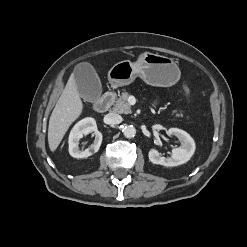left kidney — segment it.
<instances>
[{
	"label": "left kidney",
	"instance_id": "5707ae66",
	"mask_svg": "<svg viewBox=\"0 0 247 247\" xmlns=\"http://www.w3.org/2000/svg\"><path fill=\"white\" fill-rule=\"evenodd\" d=\"M167 134L176 136L181 142V146L174 148L171 157L168 158L160 156V153L152 148L148 153L149 160L153 164L166 167L178 166L188 162L195 152V142L193 138L187 132L178 128H170Z\"/></svg>",
	"mask_w": 247,
	"mask_h": 247
}]
</instances>
